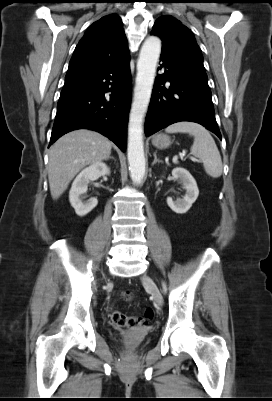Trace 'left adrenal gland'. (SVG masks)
Returning a JSON list of instances; mask_svg holds the SVG:
<instances>
[{"mask_svg": "<svg viewBox=\"0 0 272 401\" xmlns=\"http://www.w3.org/2000/svg\"><path fill=\"white\" fill-rule=\"evenodd\" d=\"M153 156H154V161L152 162V166H154L156 163H162V161L157 158L156 153H154Z\"/></svg>", "mask_w": 272, "mask_h": 401, "instance_id": "1", "label": "left adrenal gland"}]
</instances>
